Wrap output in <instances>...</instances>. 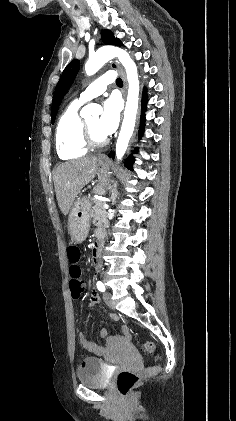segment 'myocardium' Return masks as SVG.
Masks as SVG:
<instances>
[{
	"instance_id": "f54148a6",
	"label": "myocardium",
	"mask_w": 236,
	"mask_h": 421,
	"mask_svg": "<svg viewBox=\"0 0 236 421\" xmlns=\"http://www.w3.org/2000/svg\"><path fill=\"white\" fill-rule=\"evenodd\" d=\"M78 134L82 144L88 149L103 147L108 142L107 137H104L101 140H95L92 137L86 119L81 120L78 128Z\"/></svg>"
}]
</instances>
